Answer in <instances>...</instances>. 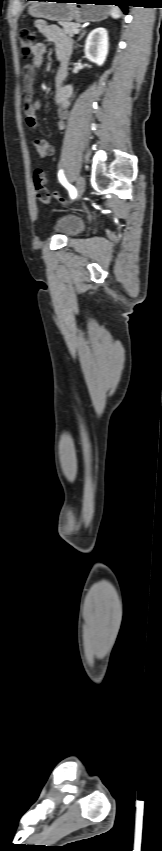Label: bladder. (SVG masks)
Returning a JSON list of instances; mask_svg holds the SVG:
<instances>
[{"label":"bladder","instance_id":"bladder-1","mask_svg":"<svg viewBox=\"0 0 162 851\" xmlns=\"http://www.w3.org/2000/svg\"><path fill=\"white\" fill-rule=\"evenodd\" d=\"M54 229L68 238L78 235L84 229V222L78 216L61 215L54 222Z\"/></svg>","mask_w":162,"mask_h":851}]
</instances>
